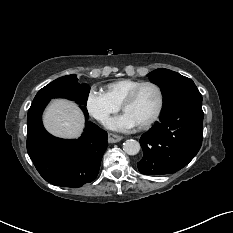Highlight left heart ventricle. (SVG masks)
Returning a JSON list of instances; mask_svg holds the SVG:
<instances>
[{
  "instance_id": "obj_1",
  "label": "left heart ventricle",
  "mask_w": 233,
  "mask_h": 233,
  "mask_svg": "<svg viewBox=\"0 0 233 233\" xmlns=\"http://www.w3.org/2000/svg\"><path fill=\"white\" fill-rule=\"evenodd\" d=\"M158 105V92L153 86H144L133 102L126 106L125 112L131 115L138 124L148 120Z\"/></svg>"
}]
</instances>
